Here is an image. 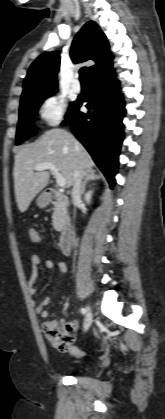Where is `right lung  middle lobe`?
<instances>
[{"instance_id": "obj_1", "label": "right lung middle lobe", "mask_w": 165, "mask_h": 419, "mask_svg": "<svg viewBox=\"0 0 165 419\" xmlns=\"http://www.w3.org/2000/svg\"><path fill=\"white\" fill-rule=\"evenodd\" d=\"M55 92L56 90L37 94L21 101L19 108V122L16 134L17 145L21 144L23 141L27 140L29 137L36 133V129L33 123L35 121L38 108L46 98L50 97ZM74 105L75 102L71 104L68 113L72 110Z\"/></svg>"}]
</instances>
